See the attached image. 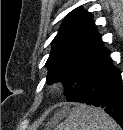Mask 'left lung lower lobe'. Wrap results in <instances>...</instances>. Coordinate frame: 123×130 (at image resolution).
I'll return each mask as SVG.
<instances>
[{"label":"left lung lower lobe","mask_w":123,"mask_h":130,"mask_svg":"<svg viewBox=\"0 0 123 130\" xmlns=\"http://www.w3.org/2000/svg\"><path fill=\"white\" fill-rule=\"evenodd\" d=\"M109 54L96 62L76 102L103 108L123 128V86Z\"/></svg>","instance_id":"0a47b994"}]
</instances>
